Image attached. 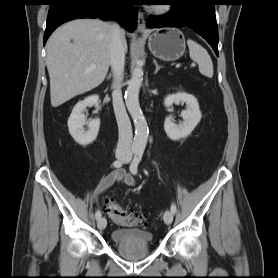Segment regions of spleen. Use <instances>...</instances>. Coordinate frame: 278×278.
<instances>
[{
    "label": "spleen",
    "mask_w": 278,
    "mask_h": 278,
    "mask_svg": "<svg viewBox=\"0 0 278 278\" xmlns=\"http://www.w3.org/2000/svg\"><path fill=\"white\" fill-rule=\"evenodd\" d=\"M187 44L190 58L198 63L200 73L208 78H212L214 73L213 63L207 50L191 39L187 41Z\"/></svg>",
    "instance_id": "1"
}]
</instances>
